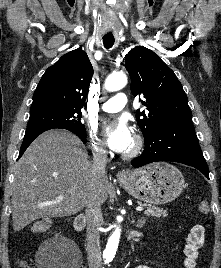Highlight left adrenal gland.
<instances>
[{
  "label": "left adrenal gland",
  "mask_w": 221,
  "mask_h": 268,
  "mask_svg": "<svg viewBox=\"0 0 221 268\" xmlns=\"http://www.w3.org/2000/svg\"><path fill=\"white\" fill-rule=\"evenodd\" d=\"M132 223H135V220L133 219V216H132ZM145 224V219L143 217L139 218V220L137 221V224L136 226L138 228H142Z\"/></svg>",
  "instance_id": "obj_1"
}]
</instances>
